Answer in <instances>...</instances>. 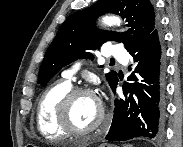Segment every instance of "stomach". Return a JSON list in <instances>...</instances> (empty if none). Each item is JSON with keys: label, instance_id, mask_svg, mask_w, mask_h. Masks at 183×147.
<instances>
[{"label": "stomach", "instance_id": "stomach-1", "mask_svg": "<svg viewBox=\"0 0 183 147\" xmlns=\"http://www.w3.org/2000/svg\"><path fill=\"white\" fill-rule=\"evenodd\" d=\"M98 147H114V146L108 145V144H101V145H99Z\"/></svg>", "mask_w": 183, "mask_h": 147}]
</instances>
